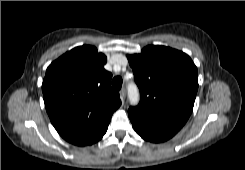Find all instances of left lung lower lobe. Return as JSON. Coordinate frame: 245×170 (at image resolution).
Here are the masks:
<instances>
[{"label":"left lung lower lobe","instance_id":"obj_1","mask_svg":"<svg viewBox=\"0 0 245 170\" xmlns=\"http://www.w3.org/2000/svg\"><path fill=\"white\" fill-rule=\"evenodd\" d=\"M134 130L150 142H164L173 137L181 128L158 122L144 115L128 111Z\"/></svg>","mask_w":245,"mask_h":170}]
</instances>
